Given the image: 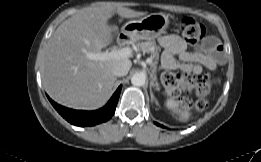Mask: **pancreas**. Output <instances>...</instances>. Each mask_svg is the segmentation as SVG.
Wrapping results in <instances>:
<instances>
[{
	"mask_svg": "<svg viewBox=\"0 0 261 162\" xmlns=\"http://www.w3.org/2000/svg\"><path fill=\"white\" fill-rule=\"evenodd\" d=\"M136 47H137L138 50H141L144 53H151V58H152L153 61L151 62L150 65L152 67V72H153L152 76L155 80L154 85L157 88H159V84H158V82H156L155 72H156V69H157L159 52L161 51V48L156 45L155 41H146V42L137 43Z\"/></svg>",
	"mask_w": 261,
	"mask_h": 162,
	"instance_id": "obj_1",
	"label": "pancreas"
}]
</instances>
